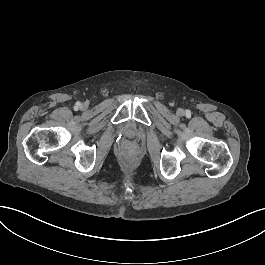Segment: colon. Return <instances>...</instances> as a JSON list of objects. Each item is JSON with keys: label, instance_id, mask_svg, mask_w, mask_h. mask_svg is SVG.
Returning <instances> with one entry per match:
<instances>
[{"label": "colon", "instance_id": "1", "mask_svg": "<svg viewBox=\"0 0 265 265\" xmlns=\"http://www.w3.org/2000/svg\"><path fill=\"white\" fill-rule=\"evenodd\" d=\"M126 150H127L129 153H132V152L135 150V147H134L132 144H129V145L126 147Z\"/></svg>", "mask_w": 265, "mask_h": 265}]
</instances>
